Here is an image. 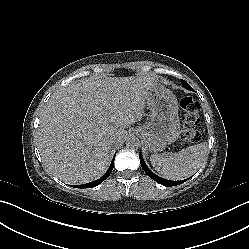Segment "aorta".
I'll list each match as a JSON object with an SVG mask.
<instances>
[{"label": "aorta", "mask_w": 249, "mask_h": 249, "mask_svg": "<svg viewBox=\"0 0 249 249\" xmlns=\"http://www.w3.org/2000/svg\"><path fill=\"white\" fill-rule=\"evenodd\" d=\"M126 146L131 149H137L140 146V140L137 137L130 136L126 139Z\"/></svg>", "instance_id": "obj_1"}]
</instances>
